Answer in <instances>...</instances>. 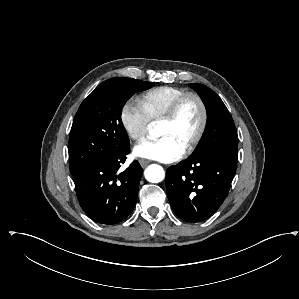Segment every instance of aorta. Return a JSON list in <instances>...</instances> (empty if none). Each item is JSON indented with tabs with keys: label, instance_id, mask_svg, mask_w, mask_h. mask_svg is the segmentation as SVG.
<instances>
[{
	"label": "aorta",
	"instance_id": "1",
	"mask_svg": "<svg viewBox=\"0 0 299 299\" xmlns=\"http://www.w3.org/2000/svg\"><path fill=\"white\" fill-rule=\"evenodd\" d=\"M155 130H151L150 133L154 134ZM145 178L151 183H159L165 178L164 169L156 164L148 166L144 172Z\"/></svg>",
	"mask_w": 299,
	"mask_h": 299
}]
</instances>
